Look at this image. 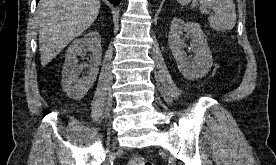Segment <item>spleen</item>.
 <instances>
[{"mask_svg": "<svg viewBox=\"0 0 276 165\" xmlns=\"http://www.w3.org/2000/svg\"><path fill=\"white\" fill-rule=\"evenodd\" d=\"M190 1L177 0L181 5H187ZM200 2L214 12L208 18L211 28L216 31H228L235 26L236 12L233 0H200Z\"/></svg>", "mask_w": 276, "mask_h": 165, "instance_id": "1", "label": "spleen"}]
</instances>
